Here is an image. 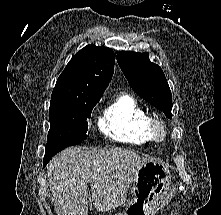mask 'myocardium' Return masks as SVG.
<instances>
[{
	"label": "myocardium",
	"mask_w": 221,
	"mask_h": 215,
	"mask_svg": "<svg viewBox=\"0 0 221 215\" xmlns=\"http://www.w3.org/2000/svg\"><path fill=\"white\" fill-rule=\"evenodd\" d=\"M149 128L151 136L155 141H163L167 135L166 125L159 119H151Z\"/></svg>",
	"instance_id": "1"
}]
</instances>
